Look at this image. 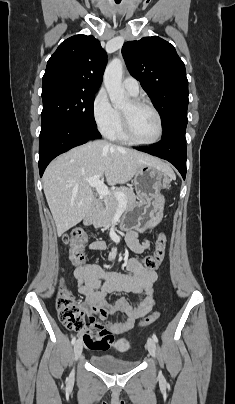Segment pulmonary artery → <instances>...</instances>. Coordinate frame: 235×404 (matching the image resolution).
<instances>
[{
  "instance_id": "1",
  "label": "pulmonary artery",
  "mask_w": 235,
  "mask_h": 404,
  "mask_svg": "<svg viewBox=\"0 0 235 404\" xmlns=\"http://www.w3.org/2000/svg\"><path fill=\"white\" fill-rule=\"evenodd\" d=\"M123 87L124 89L132 96H136L139 93L140 86L138 81L133 77H126L123 79Z\"/></svg>"
}]
</instances>
